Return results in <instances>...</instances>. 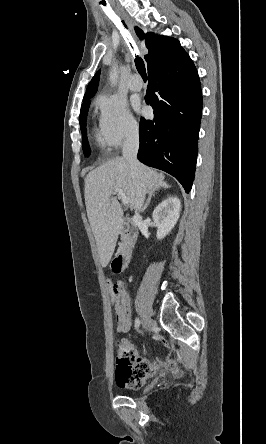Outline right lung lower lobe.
I'll use <instances>...</instances> for the list:
<instances>
[{
  "label": "right lung lower lobe",
  "mask_w": 266,
  "mask_h": 444,
  "mask_svg": "<svg viewBox=\"0 0 266 444\" xmlns=\"http://www.w3.org/2000/svg\"><path fill=\"white\" fill-rule=\"evenodd\" d=\"M145 101L154 119L140 120L139 161L174 176L189 193L194 179L202 92L197 70L185 55L148 72Z\"/></svg>",
  "instance_id": "right-lung-lower-lobe-1"
}]
</instances>
